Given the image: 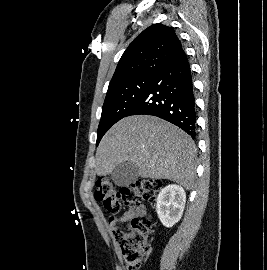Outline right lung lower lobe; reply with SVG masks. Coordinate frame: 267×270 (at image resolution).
I'll return each mask as SVG.
<instances>
[{
  "label": "right lung lower lobe",
  "mask_w": 267,
  "mask_h": 270,
  "mask_svg": "<svg viewBox=\"0 0 267 270\" xmlns=\"http://www.w3.org/2000/svg\"><path fill=\"white\" fill-rule=\"evenodd\" d=\"M137 114L160 117L195 138V97L190 66L183 49L154 75L147 91L127 116Z\"/></svg>",
  "instance_id": "1"
}]
</instances>
